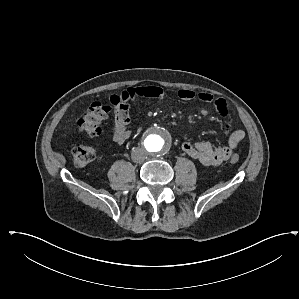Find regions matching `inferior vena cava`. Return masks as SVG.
<instances>
[{
  "label": "inferior vena cava",
  "mask_w": 299,
  "mask_h": 299,
  "mask_svg": "<svg viewBox=\"0 0 299 299\" xmlns=\"http://www.w3.org/2000/svg\"><path fill=\"white\" fill-rule=\"evenodd\" d=\"M131 158L136 163H141L145 160V150L142 148H135L131 153Z\"/></svg>",
  "instance_id": "1"
}]
</instances>
